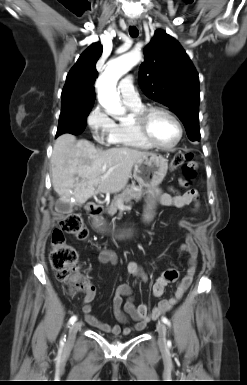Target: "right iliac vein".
Here are the masks:
<instances>
[{
  "mask_svg": "<svg viewBox=\"0 0 247 385\" xmlns=\"http://www.w3.org/2000/svg\"><path fill=\"white\" fill-rule=\"evenodd\" d=\"M81 327V323L80 322H75L71 325L70 329H69V334H68V339L69 341H73L75 336H76V333L77 331L80 329Z\"/></svg>",
  "mask_w": 247,
  "mask_h": 385,
  "instance_id": "1",
  "label": "right iliac vein"
}]
</instances>
